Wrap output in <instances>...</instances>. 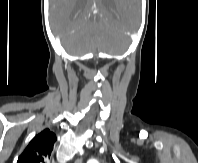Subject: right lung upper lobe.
<instances>
[{"label":"right lung upper lobe","mask_w":198,"mask_h":163,"mask_svg":"<svg viewBox=\"0 0 198 163\" xmlns=\"http://www.w3.org/2000/svg\"><path fill=\"white\" fill-rule=\"evenodd\" d=\"M56 135L49 129L37 134L19 156L17 163H46L50 158Z\"/></svg>","instance_id":"obj_1"}]
</instances>
